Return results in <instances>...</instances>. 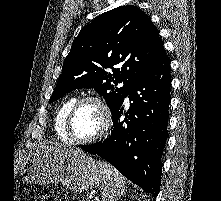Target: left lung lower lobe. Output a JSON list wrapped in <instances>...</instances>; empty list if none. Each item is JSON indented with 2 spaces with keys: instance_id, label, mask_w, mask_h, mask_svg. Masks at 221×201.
<instances>
[{
  "instance_id": "obj_1",
  "label": "left lung lower lobe",
  "mask_w": 221,
  "mask_h": 201,
  "mask_svg": "<svg viewBox=\"0 0 221 201\" xmlns=\"http://www.w3.org/2000/svg\"><path fill=\"white\" fill-rule=\"evenodd\" d=\"M170 86V61L165 55L125 94L124 98L128 96L132 101L125 120H120L123 98L112 112L114 127L111 135L104 141L81 148L107 160L126 178L155 197L161 183Z\"/></svg>"
}]
</instances>
